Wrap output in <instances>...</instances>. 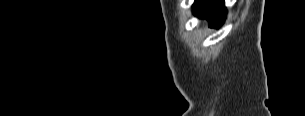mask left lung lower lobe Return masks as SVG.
I'll use <instances>...</instances> for the list:
<instances>
[{
  "label": "left lung lower lobe",
  "mask_w": 305,
  "mask_h": 116,
  "mask_svg": "<svg viewBox=\"0 0 305 116\" xmlns=\"http://www.w3.org/2000/svg\"><path fill=\"white\" fill-rule=\"evenodd\" d=\"M193 9L195 13L207 17L211 26L221 25L226 17L224 0H196Z\"/></svg>",
  "instance_id": "1"
}]
</instances>
